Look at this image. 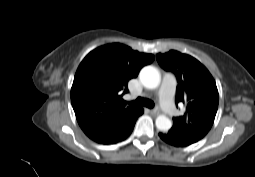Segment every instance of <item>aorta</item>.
<instances>
[{
	"label": "aorta",
	"mask_w": 255,
	"mask_h": 177,
	"mask_svg": "<svg viewBox=\"0 0 255 177\" xmlns=\"http://www.w3.org/2000/svg\"><path fill=\"white\" fill-rule=\"evenodd\" d=\"M139 78L145 88L155 89L160 83L161 76L155 67L146 66L140 71ZM155 124L160 131H168L172 127L171 120L165 115H159Z\"/></svg>",
	"instance_id": "762f6f07"
}]
</instances>
